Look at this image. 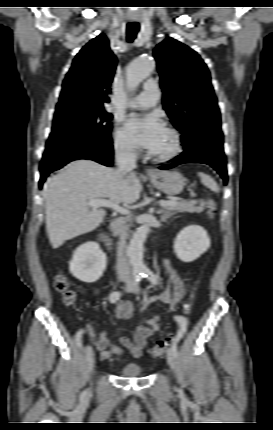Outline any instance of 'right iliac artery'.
Returning <instances> with one entry per match:
<instances>
[{"label": "right iliac artery", "instance_id": "obj_1", "mask_svg": "<svg viewBox=\"0 0 273 430\" xmlns=\"http://www.w3.org/2000/svg\"><path fill=\"white\" fill-rule=\"evenodd\" d=\"M134 278H135V281L136 282H139L140 280H141V278H143V275H142V273H140V272H135L134 273ZM121 295H122V292L121 291H114V292H112L110 295H109V302L110 303H115V302H117L119 299H120V297H121ZM81 331L80 330H78L77 331V334L75 335V341H76V344H77V346H79V347H81L82 346V341H81Z\"/></svg>", "mask_w": 273, "mask_h": 430}]
</instances>
